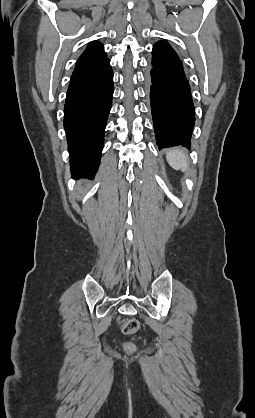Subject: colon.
<instances>
[{
    "instance_id": "obj_1",
    "label": "colon",
    "mask_w": 255,
    "mask_h": 418,
    "mask_svg": "<svg viewBox=\"0 0 255 418\" xmlns=\"http://www.w3.org/2000/svg\"><path fill=\"white\" fill-rule=\"evenodd\" d=\"M121 331L125 335L135 334L140 327L139 321L136 319H126L119 323ZM123 349L127 354H134L136 352V345L132 341H125L123 343Z\"/></svg>"
}]
</instances>
